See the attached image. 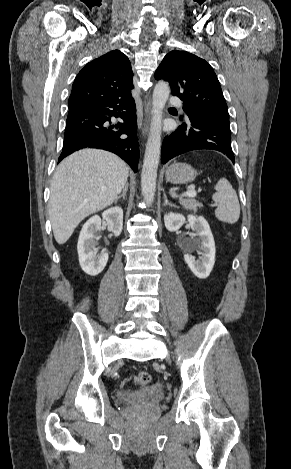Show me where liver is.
I'll list each match as a JSON object with an SVG mask.
<instances>
[{"label": "liver", "instance_id": "1", "mask_svg": "<svg viewBox=\"0 0 291 469\" xmlns=\"http://www.w3.org/2000/svg\"><path fill=\"white\" fill-rule=\"evenodd\" d=\"M129 167L115 154L83 149L56 168L49 217L58 244H64L87 216L110 206L127 182Z\"/></svg>", "mask_w": 291, "mask_h": 469}]
</instances>
